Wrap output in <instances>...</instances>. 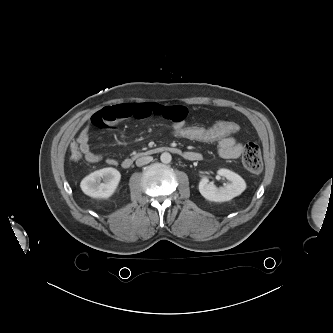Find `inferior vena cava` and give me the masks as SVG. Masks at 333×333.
<instances>
[{"label": "inferior vena cava", "instance_id": "602c4592", "mask_svg": "<svg viewBox=\"0 0 333 333\" xmlns=\"http://www.w3.org/2000/svg\"><path fill=\"white\" fill-rule=\"evenodd\" d=\"M151 161H152V157H150V156L141 157V158H138V159L136 160V165H137L138 167H140V166H143V165L148 164V163L151 162Z\"/></svg>", "mask_w": 333, "mask_h": 333}]
</instances>
